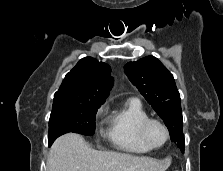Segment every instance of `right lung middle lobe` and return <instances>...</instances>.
I'll use <instances>...</instances> for the list:
<instances>
[{"instance_id": "right-lung-middle-lobe-1", "label": "right lung middle lobe", "mask_w": 223, "mask_h": 171, "mask_svg": "<svg viewBox=\"0 0 223 171\" xmlns=\"http://www.w3.org/2000/svg\"><path fill=\"white\" fill-rule=\"evenodd\" d=\"M102 104L79 101L53 102L49 120V146L59 136L74 132L91 136L95 131V115Z\"/></svg>"}]
</instances>
